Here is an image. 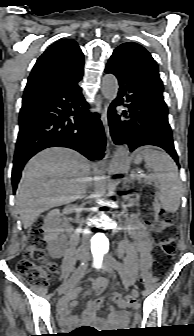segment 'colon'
Returning <instances> with one entry per match:
<instances>
[{
    "label": "colon",
    "instance_id": "1",
    "mask_svg": "<svg viewBox=\"0 0 194 336\" xmlns=\"http://www.w3.org/2000/svg\"><path fill=\"white\" fill-rule=\"evenodd\" d=\"M143 208L153 220V231L162 234L159 238L158 245L154 250L156 260L160 257H172L175 253V248L173 246L174 235L171 231L175 222L173 215L155 205L145 204ZM43 226V219L35 221L29 232V243L25 255L17 264L19 275L28 283L37 287L47 286L49 279L55 270V265L52 263L36 264L34 262V260L44 259L45 242L43 240ZM144 282L149 284L152 282V279L146 278ZM126 301L127 303H131V297L128 296ZM87 330V328L81 329L77 333L78 336H82L80 335L81 332Z\"/></svg>",
    "mask_w": 194,
    "mask_h": 336
}]
</instances>
